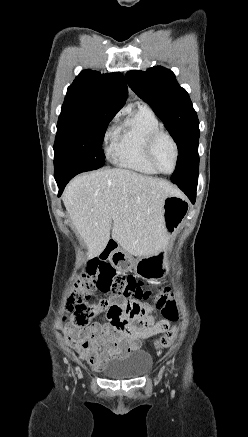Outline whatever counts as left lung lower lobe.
Masks as SVG:
<instances>
[{
    "label": "left lung lower lobe",
    "mask_w": 248,
    "mask_h": 437,
    "mask_svg": "<svg viewBox=\"0 0 248 437\" xmlns=\"http://www.w3.org/2000/svg\"><path fill=\"white\" fill-rule=\"evenodd\" d=\"M178 186L194 204L196 199L197 182L191 184H178Z\"/></svg>",
    "instance_id": "1"
}]
</instances>
